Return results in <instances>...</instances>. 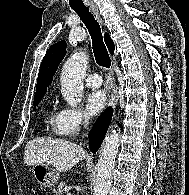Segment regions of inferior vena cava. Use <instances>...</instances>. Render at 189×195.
<instances>
[{"label": "inferior vena cava", "instance_id": "obj_1", "mask_svg": "<svg viewBox=\"0 0 189 195\" xmlns=\"http://www.w3.org/2000/svg\"><path fill=\"white\" fill-rule=\"evenodd\" d=\"M84 123H85V125H87V123H88L87 120H85Z\"/></svg>", "mask_w": 189, "mask_h": 195}]
</instances>
